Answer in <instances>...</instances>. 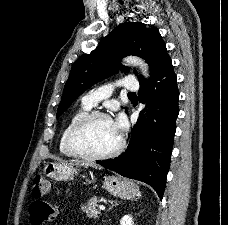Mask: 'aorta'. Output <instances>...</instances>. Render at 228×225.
Instances as JSON below:
<instances>
[{
	"mask_svg": "<svg viewBox=\"0 0 228 225\" xmlns=\"http://www.w3.org/2000/svg\"><path fill=\"white\" fill-rule=\"evenodd\" d=\"M124 62H128V64H134V66H139L144 76H148V64L145 62V60L139 58V56H126V58H124Z\"/></svg>",
	"mask_w": 228,
	"mask_h": 225,
	"instance_id": "aorta-1",
	"label": "aorta"
}]
</instances>
